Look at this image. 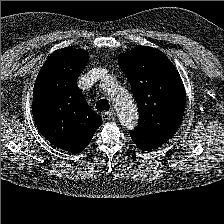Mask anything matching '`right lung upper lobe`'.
I'll return each mask as SVG.
<instances>
[{"mask_svg":"<svg viewBox=\"0 0 224 224\" xmlns=\"http://www.w3.org/2000/svg\"><path fill=\"white\" fill-rule=\"evenodd\" d=\"M88 59L81 49L53 52L40 69L33 91L32 114L39 131L51 144L73 154L83 151L102 124L76 85Z\"/></svg>","mask_w":224,"mask_h":224,"instance_id":"1","label":"right lung upper lobe"}]
</instances>
